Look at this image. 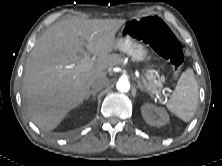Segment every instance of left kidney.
Listing matches in <instances>:
<instances>
[{
  "mask_svg": "<svg viewBox=\"0 0 222 166\" xmlns=\"http://www.w3.org/2000/svg\"><path fill=\"white\" fill-rule=\"evenodd\" d=\"M144 120L152 126H164L169 122V115L162 107L145 103L141 106Z\"/></svg>",
  "mask_w": 222,
  "mask_h": 166,
  "instance_id": "left-kidney-1",
  "label": "left kidney"
}]
</instances>
